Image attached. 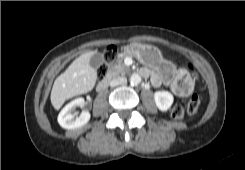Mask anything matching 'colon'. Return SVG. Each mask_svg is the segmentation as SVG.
Returning a JSON list of instances; mask_svg holds the SVG:
<instances>
[{
  "mask_svg": "<svg viewBox=\"0 0 245 170\" xmlns=\"http://www.w3.org/2000/svg\"><path fill=\"white\" fill-rule=\"evenodd\" d=\"M117 54V50L115 47H109L107 48L105 55H104V62L98 69V78L102 79L109 68L110 63L115 59ZM173 85H175V81L173 82ZM197 92L192 95L190 98L187 107L178 104L176 105L172 110V117L176 120H184L187 115H194L200 106L201 103V92L203 90V86L201 84L197 87Z\"/></svg>",
  "mask_w": 245,
  "mask_h": 170,
  "instance_id": "1",
  "label": "colon"
}]
</instances>
